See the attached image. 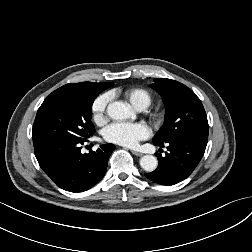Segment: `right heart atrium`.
Listing matches in <instances>:
<instances>
[{
  "label": "right heart atrium",
  "instance_id": "obj_1",
  "mask_svg": "<svg viewBox=\"0 0 252 252\" xmlns=\"http://www.w3.org/2000/svg\"><path fill=\"white\" fill-rule=\"evenodd\" d=\"M109 103V96L103 94L98 96L92 103V118L97 124H102L106 120V111Z\"/></svg>",
  "mask_w": 252,
  "mask_h": 252
}]
</instances>
